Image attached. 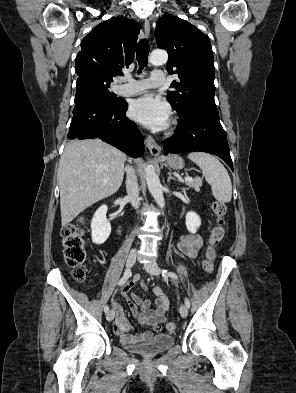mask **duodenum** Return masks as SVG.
Segmentation results:
<instances>
[{
  "label": "duodenum",
  "instance_id": "410a0bca",
  "mask_svg": "<svg viewBox=\"0 0 296 393\" xmlns=\"http://www.w3.org/2000/svg\"><path fill=\"white\" fill-rule=\"evenodd\" d=\"M122 232H123V228H122L121 225H119L118 228H117V233H118L119 235H121Z\"/></svg>",
  "mask_w": 296,
  "mask_h": 393
}]
</instances>
